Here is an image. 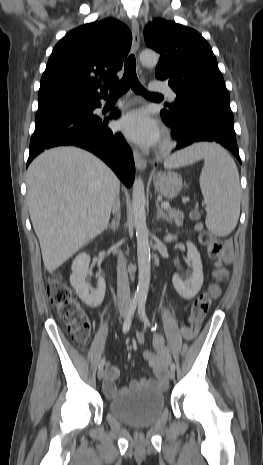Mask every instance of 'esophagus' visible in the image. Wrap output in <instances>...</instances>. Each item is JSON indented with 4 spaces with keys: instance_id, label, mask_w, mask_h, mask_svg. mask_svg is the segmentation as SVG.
I'll return each mask as SVG.
<instances>
[{
    "instance_id": "esophagus-1",
    "label": "esophagus",
    "mask_w": 263,
    "mask_h": 465,
    "mask_svg": "<svg viewBox=\"0 0 263 465\" xmlns=\"http://www.w3.org/2000/svg\"><path fill=\"white\" fill-rule=\"evenodd\" d=\"M131 31L133 36L132 48L133 52H137L140 45V33H139V24L136 19H132L131 21ZM133 157L135 161V165L138 170L143 171L146 168V160L144 157L139 153L137 149H133Z\"/></svg>"
}]
</instances>
